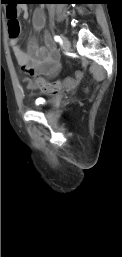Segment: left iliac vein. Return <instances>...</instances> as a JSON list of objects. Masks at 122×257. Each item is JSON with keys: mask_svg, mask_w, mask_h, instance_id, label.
Segmentation results:
<instances>
[{"mask_svg": "<svg viewBox=\"0 0 122 257\" xmlns=\"http://www.w3.org/2000/svg\"><path fill=\"white\" fill-rule=\"evenodd\" d=\"M62 45H63V48H64L65 50H68V49H70V47H71V43H70V41L68 40V38H66V37L63 38Z\"/></svg>", "mask_w": 122, "mask_h": 257, "instance_id": "1", "label": "left iliac vein"}]
</instances>
